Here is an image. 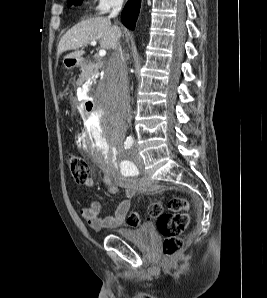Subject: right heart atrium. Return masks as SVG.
Instances as JSON below:
<instances>
[{
	"instance_id": "d8ad5b80",
	"label": "right heart atrium",
	"mask_w": 267,
	"mask_h": 298,
	"mask_svg": "<svg viewBox=\"0 0 267 298\" xmlns=\"http://www.w3.org/2000/svg\"><path fill=\"white\" fill-rule=\"evenodd\" d=\"M124 0H94L93 9L96 14H106L119 7Z\"/></svg>"
}]
</instances>
